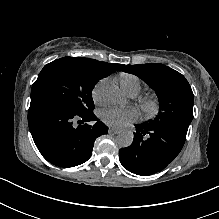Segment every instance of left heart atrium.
<instances>
[{"mask_svg":"<svg viewBox=\"0 0 219 219\" xmlns=\"http://www.w3.org/2000/svg\"><path fill=\"white\" fill-rule=\"evenodd\" d=\"M103 120L109 126L115 128H123L139 118V112L134 107H129L125 109L111 108L106 110L103 115Z\"/></svg>","mask_w":219,"mask_h":219,"instance_id":"left-heart-atrium-1","label":"left heart atrium"}]
</instances>
